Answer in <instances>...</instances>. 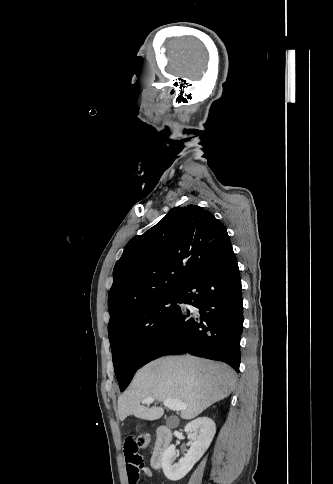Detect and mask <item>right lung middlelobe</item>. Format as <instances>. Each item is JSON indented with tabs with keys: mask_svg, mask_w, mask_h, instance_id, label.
<instances>
[{
	"mask_svg": "<svg viewBox=\"0 0 333 484\" xmlns=\"http://www.w3.org/2000/svg\"><path fill=\"white\" fill-rule=\"evenodd\" d=\"M179 292L158 296L138 305L109 325L114 370L121 391L132 380L152 339L176 310Z\"/></svg>",
	"mask_w": 333,
	"mask_h": 484,
	"instance_id": "1",
	"label": "right lung middle lobe"
}]
</instances>
